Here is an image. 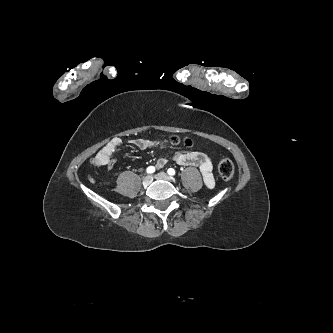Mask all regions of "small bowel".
Masks as SVG:
<instances>
[{
  "label": "small bowel",
  "instance_id": "1",
  "mask_svg": "<svg viewBox=\"0 0 333 333\" xmlns=\"http://www.w3.org/2000/svg\"><path fill=\"white\" fill-rule=\"evenodd\" d=\"M129 143L139 149H147L161 145L164 141L135 138L129 140ZM121 144L122 140L119 137L112 138L102 149L98 151L96 156L92 159V164L95 167L106 165L109 168H112L114 166L112 155ZM172 159L179 165L199 167L206 187H214L215 180L213 176V165L210 158L205 153L199 151H179L173 155ZM167 161V158L161 156L158 158L156 166L158 168L164 167L167 164Z\"/></svg>",
  "mask_w": 333,
  "mask_h": 333
}]
</instances>
